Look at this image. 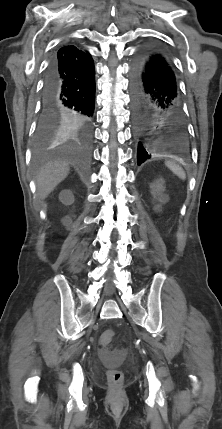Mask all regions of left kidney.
<instances>
[{
  "label": "left kidney",
  "instance_id": "1",
  "mask_svg": "<svg viewBox=\"0 0 222 429\" xmlns=\"http://www.w3.org/2000/svg\"><path fill=\"white\" fill-rule=\"evenodd\" d=\"M151 188H152L151 193L153 194L154 198H156L160 203H166L168 201L169 199L168 196L163 194V191L165 189L163 179L161 178L158 179L155 183L151 185ZM160 209H161L160 205H157L155 207V210L160 211Z\"/></svg>",
  "mask_w": 222,
  "mask_h": 429
}]
</instances>
